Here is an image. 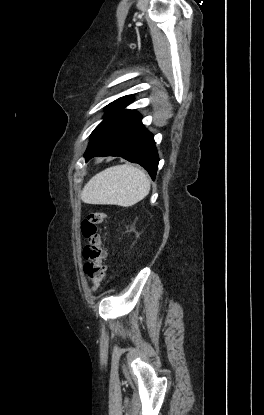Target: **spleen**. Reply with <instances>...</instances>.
Returning <instances> with one entry per match:
<instances>
[{"instance_id":"spleen-1","label":"spleen","mask_w":264,"mask_h":415,"mask_svg":"<svg viewBox=\"0 0 264 415\" xmlns=\"http://www.w3.org/2000/svg\"><path fill=\"white\" fill-rule=\"evenodd\" d=\"M150 190L147 174L133 165L107 168L84 186L80 198L87 204L129 207L141 201Z\"/></svg>"}]
</instances>
